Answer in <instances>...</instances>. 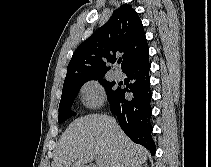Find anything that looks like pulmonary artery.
Returning a JSON list of instances; mask_svg holds the SVG:
<instances>
[{"mask_svg":"<svg viewBox=\"0 0 211 167\" xmlns=\"http://www.w3.org/2000/svg\"><path fill=\"white\" fill-rule=\"evenodd\" d=\"M114 76H115V78L118 79V80H121V79L123 78V74H122V72H121L119 69H116V70L114 71Z\"/></svg>","mask_w":211,"mask_h":167,"instance_id":"pulmonary-artery-1","label":"pulmonary artery"}]
</instances>
